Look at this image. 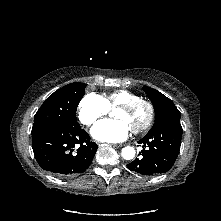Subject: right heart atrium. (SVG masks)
<instances>
[{"instance_id":"1","label":"right heart atrium","mask_w":221,"mask_h":221,"mask_svg":"<svg viewBox=\"0 0 221 221\" xmlns=\"http://www.w3.org/2000/svg\"><path fill=\"white\" fill-rule=\"evenodd\" d=\"M108 112L105 100L96 93H87L78 105V119L85 126L93 125Z\"/></svg>"}]
</instances>
